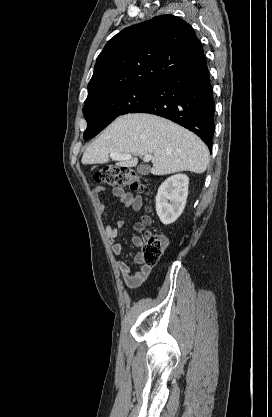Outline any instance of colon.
<instances>
[{
    "mask_svg": "<svg viewBox=\"0 0 272 417\" xmlns=\"http://www.w3.org/2000/svg\"><path fill=\"white\" fill-rule=\"evenodd\" d=\"M96 182L112 187H128L136 191H144L145 182L133 171L127 168L106 166L93 175ZM143 224H138L137 229L142 230ZM168 246V239L164 235H147L142 251V262L145 265H155L164 254Z\"/></svg>",
    "mask_w": 272,
    "mask_h": 417,
    "instance_id": "colon-1",
    "label": "colon"
}]
</instances>
